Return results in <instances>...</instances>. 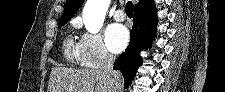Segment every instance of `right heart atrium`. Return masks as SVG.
Here are the masks:
<instances>
[{
    "mask_svg": "<svg viewBox=\"0 0 225 92\" xmlns=\"http://www.w3.org/2000/svg\"><path fill=\"white\" fill-rule=\"evenodd\" d=\"M76 51L78 62L83 67H98L112 58L99 33L82 32Z\"/></svg>",
    "mask_w": 225,
    "mask_h": 92,
    "instance_id": "d8ad5b80",
    "label": "right heart atrium"
}]
</instances>
